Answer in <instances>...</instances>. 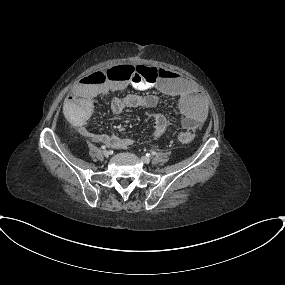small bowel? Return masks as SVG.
<instances>
[{
  "label": "small bowel",
  "mask_w": 285,
  "mask_h": 285,
  "mask_svg": "<svg viewBox=\"0 0 285 285\" xmlns=\"http://www.w3.org/2000/svg\"><path fill=\"white\" fill-rule=\"evenodd\" d=\"M115 66L112 68L120 67ZM111 69V68H109ZM107 70H102L105 73ZM159 78L156 81L149 82L143 79L142 82L132 83L122 79H108L104 84H93L83 81L79 82L74 92L63 102V112L70 123L78 127L83 135L94 141L104 142L114 149H125L134 143L140 141L138 138H123L116 135H96L89 132L84 124L90 118L93 111V100L108 92H119L130 85H135L140 90H157L160 93L177 99V108L181 114V126L187 133L194 132L202 125L207 117L206 108L203 99L197 93L192 81L181 74L161 69ZM159 103V97L153 93L144 95H125L116 97L112 100L111 108L116 113H121L127 108H154ZM154 123L153 133L148 139L157 138L163 135L169 128L167 118L155 113L152 116Z\"/></svg>",
  "instance_id": "obj_1"
}]
</instances>
